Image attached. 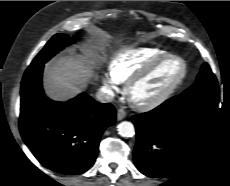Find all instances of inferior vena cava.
<instances>
[{"label":"inferior vena cava","instance_id":"1","mask_svg":"<svg viewBox=\"0 0 230 186\" xmlns=\"http://www.w3.org/2000/svg\"><path fill=\"white\" fill-rule=\"evenodd\" d=\"M114 96V92L107 87L99 89V91L96 93V98L102 103L112 101Z\"/></svg>","mask_w":230,"mask_h":186}]
</instances>
